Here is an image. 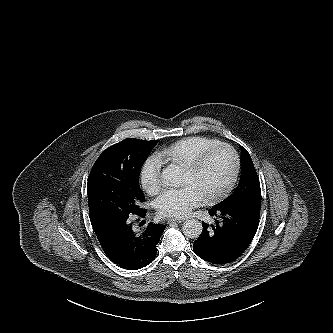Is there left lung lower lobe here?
<instances>
[{"label": "left lung lower lobe", "instance_id": "left-lung-lower-lobe-1", "mask_svg": "<svg viewBox=\"0 0 333 333\" xmlns=\"http://www.w3.org/2000/svg\"><path fill=\"white\" fill-rule=\"evenodd\" d=\"M260 204L237 208L213 207L209 214L214 225L202 222V233L194 242L193 251L213 264L235 261L254 238L260 217Z\"/></svg>", "mask_w": 333, "mask_h": 333}]
</instances>
